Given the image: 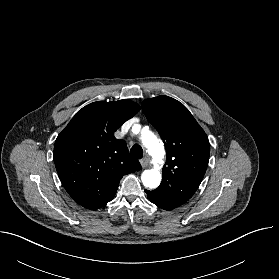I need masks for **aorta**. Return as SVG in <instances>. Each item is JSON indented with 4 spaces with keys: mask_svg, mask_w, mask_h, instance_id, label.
Returning <instances> with one entry per match:
<instances>
[{
    "mask_svg": "<svg viewBox=\"0 0 279 279\" xmlns=\"http://www.w3.org/2000/svg\"><path fill=\"white\" fill-rule=\"evenodd\" d=\"M142 141L149 153L152 155L155 163L162 159L164 149L156 141L153 133L147 131L142 135ZM143 185L147 188H157L161 182V173L157 168L145 170L141 175Z\"/></svg>",
    "mask_w": 279,
    "mask_h": 279,
    "instance_id": "1",
    "label": "aorta"
}]
</instances>
